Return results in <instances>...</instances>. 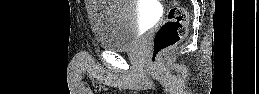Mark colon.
Masks as SVG:
<instances>
[{
    "label": "colon",
    "instance_id": "5ec220e1",
    "mask_svg": "<svg viewBox=\"0 0 259 94\" xmlns=\"http://www.w3.org/2000/svg\"><path fill=\"white\" fill-rule=\"evenodd\" d=\"M188 12L185 7L174 1L165 21L156 30L150 53V64L155 66L162 52L177 44L186 35Z\"/></svg>",
    "mask_w": 259,
    "mask_h": 94
}]
</instances>
